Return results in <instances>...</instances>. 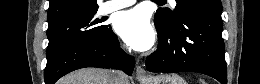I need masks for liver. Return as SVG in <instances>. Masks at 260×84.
<instances>
[{
	"label": "liver",
	"instance_id": "obj_1",
	"mask_svg": "<svg viewBox=\"0 0 260 84\" xmlns=\"http://www.w3.org/2000/svg\"><path fill=\"white\" fill-rule=\"evenodd\" d=\"M114 77L115 72L110 70L84 68L66 75L58 84H115Z\"/></svg>",
	"mask_w": 260,
	"mask_h": 84
}]
</instances>
